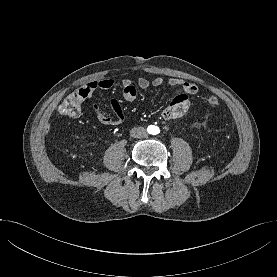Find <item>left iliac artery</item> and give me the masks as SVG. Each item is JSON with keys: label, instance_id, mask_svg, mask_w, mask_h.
Instances as JSON below:
<instances>
[{"label": "left iliac artery", "instance_id": "1", "mask_svg": "<svg viewBox=\"0 0 277 277\" xmlns=\"http://www.w3.org/2000/svg\"><path fill=\"white\" fill-rule=\"evenodd\" d=\"M154 132H155V134H158L160 132L159 128L156 127Z\"/></svg>", "mask_w": 277, "mask_h": 277}]
</instances>
